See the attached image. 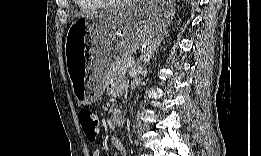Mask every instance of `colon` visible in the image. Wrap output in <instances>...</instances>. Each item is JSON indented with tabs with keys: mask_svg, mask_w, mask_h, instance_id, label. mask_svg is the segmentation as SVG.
I'll return each instance as SVG.
<instances>
[{
	"mask_svg": "<svg viewBox=\"0 0 261 156\" xmlns=\"http://www.w3.org/2000/svg\"><path fill=\"white\" fill-rule=\"evenodd\" d=\"M78 119L85 137L89 141H94L100 128L97 115L89 109H81L78 113Z\"/></svg>",
	"mask_w": 261,
	"mask_h": 156,
	"instance_id": "obj_1",
	"label": "colon"
}]
</instances>
